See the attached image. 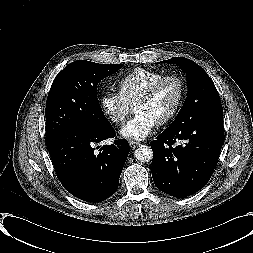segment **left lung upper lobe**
<instances>
[{
  "mask_svg": "<svg viewBox=\"0 0 253 253\" xmlns=\"http://www.w3.org/2000/svg\"><path fill=\"white\" fill-rule=\"evenodd\" d=\"M162 62L178 65L186 73L188 85V96L169 127H176L188 120L222 112L218 91L213 81L198 64L184 57H175Z\"/></svg>",
  "mask_w": 253,
  "mask_h": 253,
  "instance_id": "1",
  "label": "left lung upper lobe"
}]
</instances>
